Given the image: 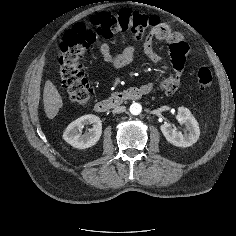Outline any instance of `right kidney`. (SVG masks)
Segmentation results:
<instances>
[{"mask_svg":"<svg viewBox=\"0 0 236 236\" xmlns=\"http://www.w3.org/2000/svg\"><path fill=\"white\" fill-rule=\"evenodd\" d=\"M92 124L93 127L85 134H81L82 129ZM102 134V123L98 116L84 115L70 123L63 133V139L77 149H86L94 146Z\"/></svg>","mask_w":236,"mask_h":236,"instance_id":"1","label":"right kidney"}]
</instances>
